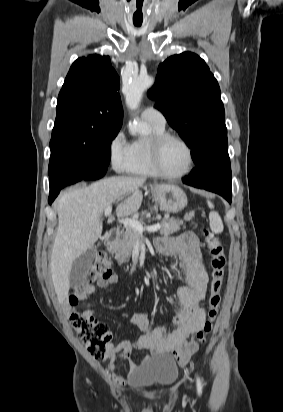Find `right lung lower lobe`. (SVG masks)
Returning a JSON list of instances; mask_svg holds the SVG:
<instances>
[{"mask_svg":"<svg viewBox=\"0 0 283 412\" xmlns=\"http://www.w3.org/2000/svg\"><path fill=\"white\" fill-rule=\"evenodd\" d=\"M108 165H94L81 170L58 172L49 178L50 195L48 202L51 204L59 194L60 190L67 185L81 180H94L101 178L106 173Z\"/></svg>","mask_w":283,"mask_h":412,"instance_id":"98d812e1","label":"right lung lower lobe"}]
</instances>
